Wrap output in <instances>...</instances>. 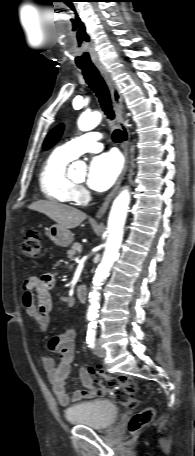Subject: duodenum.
Segmentation results:
<instances>
[{
  "label": "duodenum",
  "mask_w": 195,
  "mask_h": 456,
  "mask_svg": "<svg viewBox=\"0 0 195 456\" xmlns=\"http://www.w3.org/2000/svg\"><path fill=\"white\" fill-rule=\"evenodd\" d=\"M76 294L80 302H85L87 300L88 295L87 287L85 285H79Z\"/></svg>",
  "instance_id": "1"
}]
</instances>
